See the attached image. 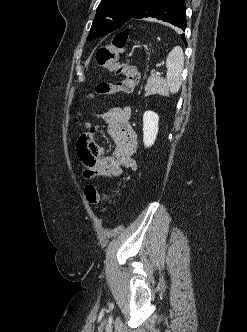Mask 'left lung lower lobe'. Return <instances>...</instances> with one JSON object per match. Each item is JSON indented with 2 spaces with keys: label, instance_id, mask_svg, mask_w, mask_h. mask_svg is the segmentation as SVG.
Returning a JSON list of instances; mask_svg holds the SVG:
<instances>
[{
  "label": "left lung lower lobe",
  "instance_id": "obj_1",
  "mask_svg": "<svg viewBox=\"0 0 247 332\" xmlns=\"http://www.w3.org/2000/svg\"><path fill=\"white\" fill-rule=\"evenodd\" d=\"M156 18L185 30L186 5L184 0H146L133 15V19ZM185 45V36L181 35Z\"/></svg>",
  "mask_w": 247,
  "mask_h": 332
}]
</instances>
